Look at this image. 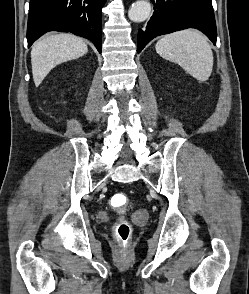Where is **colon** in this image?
Wrapping results in <instances>:
<instances>
[{
  "instance_id": "5ec220e1",
  "label": "colon",
  "mask_w": 249,
  "mask_h": 294,
  "mask_svg": "<svg viewBox=\"0 0 249 294\" xmlns=\"http://www.w3.org/2000/svg\"><path fill=\"white\" fill-rule=\"evenodd\" d=\"M115 207H122L128 203V197L124 194H116L112 198ZM116 238L121 243H126L132 234V226L129 222L122 220L115 227Z\"/></svg>"
}]
</instances>
